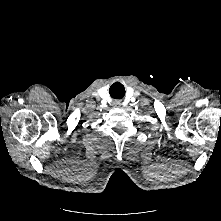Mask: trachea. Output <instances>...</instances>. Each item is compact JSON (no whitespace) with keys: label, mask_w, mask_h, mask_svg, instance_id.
Masks as SVG:
<instances>
[{"label":"trachea","mask_w":221,"mask_h":221,"mask_svg":"<svg viewBox=\"0 0 221 221\" xmlns=\"http://www.w3.org/2000/svg\"><path fill=\"white\" fill-rule=\"evenodd\" d=\"M110 93L113 98H117V97H115V95H122L123 96L125 94V90H124V87L121 84H119V87L117 88V90L114 92H113V90H110Z\"/></svg>","instance_id":"trachea-1"}]
</instances>
